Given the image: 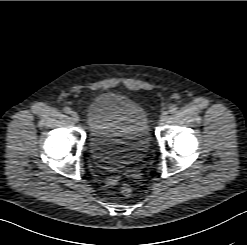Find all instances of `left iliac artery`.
Masks as SVG:
<instances>
[{
    "label": "left iliac artery",
    "mask_w": 247,
    "mask_h": 245,
    "mask_svg": "<svg viewBox=\"0 0 247 245\" xmlns=\"http://www.w3.org/2000/svg\"><path fill=\"white\" fill-rule=\"evenodd\" d=\"M177 109H178L177 105H172V106H170V108H169V112H170L171 114H173V113H175V112L177 111Z\"/></svg>",
    "instance_id": "1"
}]
</instances>
